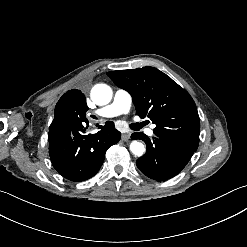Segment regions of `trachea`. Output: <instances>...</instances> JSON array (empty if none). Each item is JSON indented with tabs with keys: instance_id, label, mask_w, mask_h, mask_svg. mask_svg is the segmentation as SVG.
Segmentation results:
<instances>
[{
	"instance_id": "trachea-1",
	"label": "trachea",
	"mask_w": 247,
	"mask_h": 247,
	"mask_svg": "<svg viewBox=\"0 0 247 247\" xmlns=\"http://www.w3.org/2000/svg\"><path fill=\"white\" fill-rule=\"evenodd\" d=\"M146 124L144 123V122H142V123H132L131 125H130V128L132 129V130H135V131H138V130H140L143 126H145Z\"/></svg>"
}]
</instances>
